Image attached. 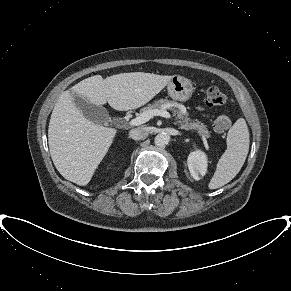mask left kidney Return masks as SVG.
I'll use <instances>...</instances> for the list:
<instances>
[{
  "label": "left kidney",
  "mask_w": 291,
  "mask_h": 291,
  "mask_svg": "<svg viewBox=\"0 0 291 291\" xmlns=\"http://www.w3.org/2000/svg\"><path fill=\"white\" fill-rule=\"evenodd\" d=\"M207 162V156L201 150H196L189 154L187 164L190 174L195 180H200L206 174Z\"/></svg>",
  "instance_id": "5707ae66"
}]
</instances>
